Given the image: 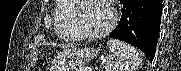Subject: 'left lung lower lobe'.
<instances>
[{
  "label": "left lung lower lobe",
  "instance_id": "0a47b994",
  "mask_svg": "<svg viewBox=\"0 0 181 71\" xmlns=\"http://www.w3.org/2000/svg\"><path fill=\"white\" fill-rule=\"evenodd\" d=\"M120 25L111 37L130 43L153 60L159 37L162 0H120Z\"/></svg>",
  "mask_w": 181,
  "mask_h": 71
}]
</instances>
